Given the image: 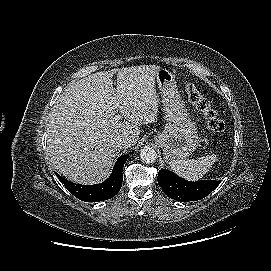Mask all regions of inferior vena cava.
Returning a JSON list of instances; mask_svg holds the SVG:
<instances>
[{
    "label": "inferior vena cava",
    "mask_w": 271,
    "mask_h": 271,
    "mask_svg": "<svg viewBox=\"0 0 271 271\" xmlns=\"http://www.w3.org/2000/svg\"><path fill=\"white\" fill-rule=\"evenodd\" d=\"M117 145L119 148L124 149L131 147L133 145V142L130 136H123L117 139Z\"/></svg>",
    "instance_id": "1"
}]
</instances>
